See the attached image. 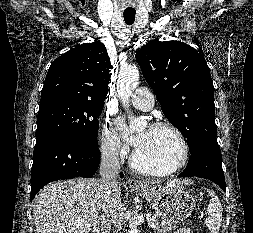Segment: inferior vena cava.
Wrapping results in <instances>:
<instances>
[{
	"label": "inferior vena cava",
	"instance_id": "1",
	"mask_svg": "<svg viewBox=\"0 0 253 233\" xmlns=\"http://www.w3.org/2000/svg\"><path fill=\"white\" fill-rule=\"evenodd\" d=\"M120 170L119 150L115 143H111L101 150L100 175L101 205L104 211L105 223L112 224L114 233L122 229V204L117 174ZM107 233V231L103 232Z\"/></svg>",
	"mask_w": 253,
	"mask_h": 233
}]
</instances>
